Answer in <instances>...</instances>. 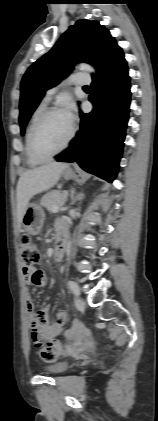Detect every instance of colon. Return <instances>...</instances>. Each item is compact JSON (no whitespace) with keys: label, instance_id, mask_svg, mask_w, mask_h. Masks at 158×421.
Returning <instances> with one entry per match:
<instances>
[{"label":"colon","instance_id":"1","mask_svg":"<svg viewBox=\"0 0 158 421\" xmlns=\"http://www.w3.org/2000/svg\"><path fill=\"white\" fill-rule=\"evenodd\" d=\"M20 251L25 269H34L39 263L40 253L37 245L31 237L24 234L20 238ZM41 358L48 363H52L58 359L62 353V343L57 339L51 340L46 346H39Z\"/></svg>","mask_w":158,"mask_h":421}]
</instances>
